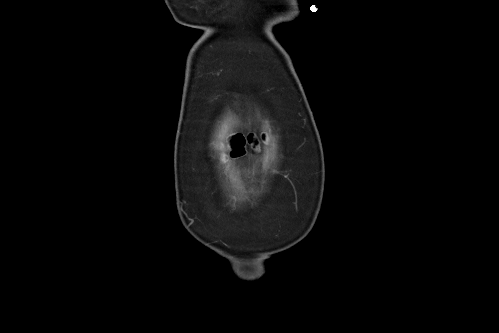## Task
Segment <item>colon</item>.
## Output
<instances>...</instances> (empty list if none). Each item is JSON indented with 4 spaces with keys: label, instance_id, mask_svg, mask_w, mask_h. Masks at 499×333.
I'll use <instances>...</instances> for the list:
<instances>
[{
    "label": "colon",
    "instance_id": "5ec220e1",
    "mask_svg": "<svg viewBox=\"0 0 499 333\" xmlns=\"http://www.w3.org/2000/svg\"><path fill=\"white\" fill-rule=\"evenodd\" d=\"M254 139L252 137L244 138L241 136H238L232 140V147L234 150L235 155H240L244 152V146L246 143L248 144H253Z\"/></svg>",
    "mask_w": 499,
    "mask_h": 333
}]
</instances>
